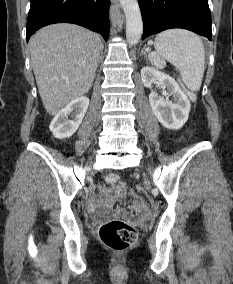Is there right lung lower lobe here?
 Wrapping results in <instances>:
<instances>
[{
    "instance_id": "obj_1",
    "label": "right lung lower lobe",
    "mask_w": 233,
    "mask_h": 284,
    "mask_svg": "<svg viewBox=\"0 0 233 284\" xmlns=\"http://www.w3.org/2000/svg\"><path fill=\"white\" fill-rule=\"evenodd\" d=\"M110 0H31L26 39L39 28L54 23H74L108 40Z\"/></svg>"
}]
</instances>
